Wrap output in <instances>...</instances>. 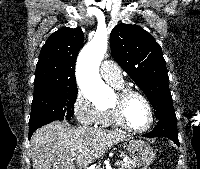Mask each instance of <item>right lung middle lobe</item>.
Listing matches in <instances>:
<instances>
[{"label": "right lung middle lobe", "mask_w": 200, "mask_h": 169, "mask_svg": "<svg viewBox=\"0 0 200 169\" xmlns=\"http://www.w3.org/2000/svg\"><path fill=\"white\" fill-rule=\"evenodd\" d=\"M77 85L34 91L29 125L49 120H69L73 116Z\"/></svg>", "instance_id": "dd1d6c3e"}]
</instances>
